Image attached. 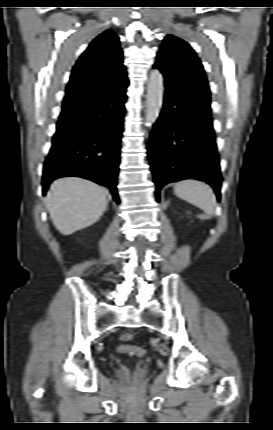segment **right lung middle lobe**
Masks as SVG:
<instances>
[{
    "mask_svg": "<svg viewBox=\"0 0 273 430\" xmlns=\"http://www.w3.org/2000/svg\"><path fill=\"white\" fill-rule=\"evenodd\" d=\"M74 116L73 115H61L60 118H59L58 124H61V123L65 122V121H68L71 118H73Z\"/></svg>",
    "mask_w": 273,
    "mask_h": 430,
    "instance_id": "obj_1",
    "label": "right lung middle lobe"
}]
</instances>
